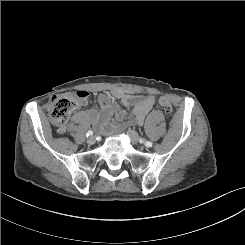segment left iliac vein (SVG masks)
Wrapping results in <instances>:
<instances>
[{"label": "left iliac vein", "instance_id": "4c4485c4", "mask_svg": "<svg viewBox=\"0 0 245 245\" xmlns=\"http://www.w3.org/2000/svg\"><path fill=\"white\" fill-rule=\"evenodd\" d=\"M127 134L130 137L133 144H137L139 142L138 134L134 130H128Z\"/></svg>", "mask_w": 245, "mask_h": 245}]
</instances>
